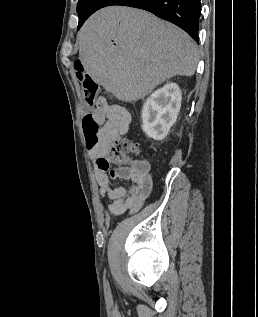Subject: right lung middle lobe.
Segmentation results:
<instances>
[{"mask_svg": "<svg viewBox=\"0 0 258 317\" xmlns=\"http://www.w3.org/2000/svg\"><path fill=\"white\" fill-rule=\"evenodd\" d=\"M87 0H79L78 4H77V12H79V10L81 9V7L83 6V4L86 2Z\"/></svg>", "mask_w": 258, "mask_h": 317, "instance_id": "1", "label": "right lung middle lobe"}]
</instances>
